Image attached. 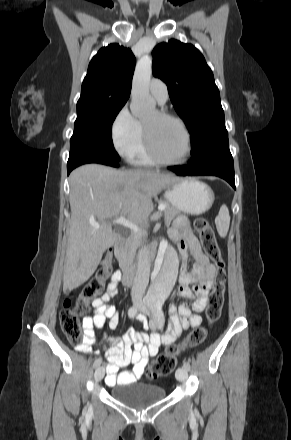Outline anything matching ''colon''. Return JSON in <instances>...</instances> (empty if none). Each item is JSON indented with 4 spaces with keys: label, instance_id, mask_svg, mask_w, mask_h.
<instances>
[{
    "label": "colon",
    "instance_id": "colon-1",
    "mask_svg": "<svg viewBox=\"0 0 291 440\" xmlns=\"http://www.w3.org/2000/svg\"><path fill=\"white\" fill-rule=\"evenodd\" d=\"M194 227L199 234L204 253L214 262L216 268V277L206 307L207 318L209 321L215 322L220 318L224 302L225 263L209 221L204 218H197ZM111 259V255H108L102 261L96 276L83 288L76 299L75 305L70 307V299H68L66 307L59 314L61 329L72 343L83 342L84 332L80 326V318L89 312V301L102 292L105 283L109 280L112 272ZM206 334V329L200 327L183 342L169 344L157 361L148 369L147 376L156 379L172 373L175 368L176 357L181 351L202 342Z\"/></svg>",
    "mask_w": 291,
    "mask_h": 440
}]
</instances>
